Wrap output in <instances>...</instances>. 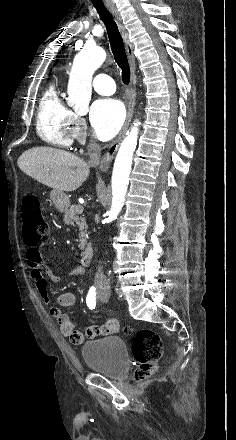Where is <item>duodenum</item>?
Listing matches in <instances>:
<instances>
[{
	"label": "duodenum",
	"instance_id": "obj_1",
	"mask_svg": "<svg viewBox=\"0 0 236 440\" xmlns=\"http://www.w3.org/2000/svg\"><path fill=\"white\" fill-rule=\"evenodd\" d=\"M93 257V248L90 245L85 246L82 257H81V264L83 266H88L92 260Z\"/></svg>",
	"mask_w": 236,
	"mask_h": 440
}]
</instances>
